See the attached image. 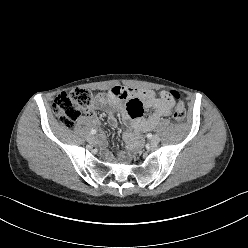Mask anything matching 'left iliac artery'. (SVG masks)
I'll list each match as a JSON object with an SVG mask.
<instances>
[{"label":"left iliac artery","instance_id":"1","mask_svg":"<svg viewBox=\"0 0 248 248\" xmlns=\"http://www.w3.org/2000/svg\"><path fill=\"white\" fill-rule=\"evenodd\" d=\"M147 137H148V138H152V137H153L152 133H149V134L147 135Z\"/></svg>","mask_w":248,"mask_h":248}]
</instances>
